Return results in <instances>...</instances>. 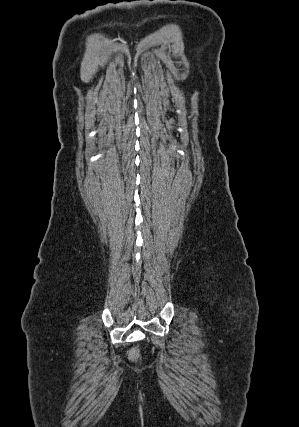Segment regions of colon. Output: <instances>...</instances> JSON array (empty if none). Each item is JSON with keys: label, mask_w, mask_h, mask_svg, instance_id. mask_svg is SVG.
I'll return each instance as SVG.
<instances>
[{"label": "colon", "mask_w": 299, "mask_h": 427, "mask_svg": "<svg viewBox=\"0 0 299 427\" xmlns=\"http://www.w3.org/2000/svg\"><path fill=\"white\" fill-rule=\"evenodd\" d=\"M139 357V349L138 348H132L129 351V358L133 361L137 360Z\"/></svg>", "instance_id": "1"}]
</instances>
